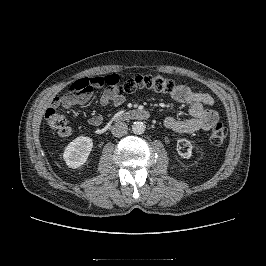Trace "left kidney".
I'll list each match as a JSON object with an SVG mask.
<instances>
[{
  "mask_svg": "<svg viewBox=\"0 0 266 266\" xmlns=\"http://www.w3.org/2000/svg\"><path fill=\"white\" fill-rule=\"evenodd\" d=\"M186 143L188 145V150L186 153H181L179 150H178V153L181 157L183 158H186V159H189L191 156H192V144L190 141L186 140V139H179L177 141V145H179V143Z\"/></svg>",
  "mask_w": 266,
  "mask_h": 266,
  "instance_id": "1",
  "label": "left kidney"
}]
</instances>
